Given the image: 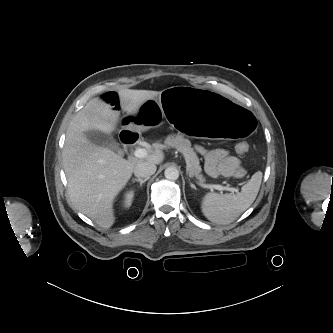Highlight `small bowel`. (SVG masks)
Here are the masks:
<instances>
[{"mask_svg":"<svg viewBox=\"0 0 333 333\" xmlns=\"http://www.w3.org/2000/svg\"><path fill=\"white\" fill-rule=\"evenodd\" d=\"M101 100L114 110L121 109V100L117 92L109 91L101 95ZM206 161V170L212 176H228L239 166V160L230 156L226 150H206L199 148Z\"/></svg>","mask_w":333,"mask_h":333,"instance_id":"small-bowel-1","label":"small bowel"}]
</instances>
